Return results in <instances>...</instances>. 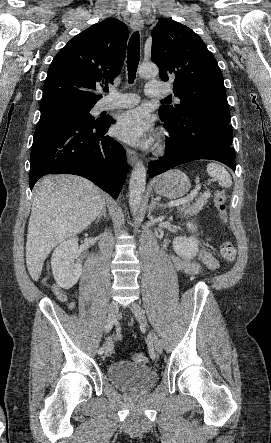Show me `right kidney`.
<instances>
[{"mask_svg": "<svg viewBox=\"0 0 271 443\" xmlns=\"http://www.w3.org/2000/svg\"><path fill=\"white\" fill-rule=\"evenodd\" d=\"M80 253L78 237H69L55 247L51 257V267L54 279L60 287L70 289L77 283L82 271Z\"/></svg>", "mask_w": 271, "mask_h": 443, "instance_id": "right-kidney-1", "label": "right kidney"}]
</instances>
